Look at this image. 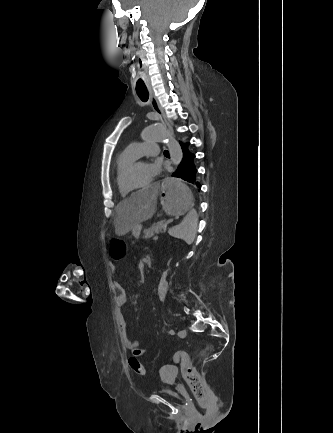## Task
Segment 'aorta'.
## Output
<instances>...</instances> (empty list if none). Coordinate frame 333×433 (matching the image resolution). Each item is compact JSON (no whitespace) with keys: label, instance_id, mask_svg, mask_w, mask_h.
I'll use <instances>...</instances> for the list:
<instances>
[{"label":"aorta","instance_id":"1","mask_svg":"<svg viewBox=\"0 0 333 433\" xmlns=\"http://www.w3.org/2000/svg\"><path fill=\"white\" fill-rule=\"evenodd\" d=\"M141 138L146 142L166 143L173 165L180 164L183 157L181 147L166 128L161 125L146 127L141 133Z\"/></svg>","mask_w":333,"mask_h":433}]
</instances>
